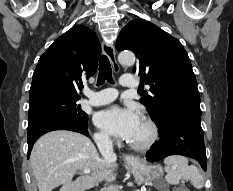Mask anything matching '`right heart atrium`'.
Returning <instances> with one entry per match:
<instances>
[{
    "instance_id": "right-heart-atrium-1",
    "label": "right heart atrium",
    "mask_w": 233,
    "mask_h": 191,
    "mask_svg": "<svg viewBox=\"0 0 233 191\" xmlns=\"http://www.w3.org/2000/svg\"><path fill=\"white\" fill-rule=\"evenodd\" d=\"M94 140L100 149H109L114 144L113 139L107 133L103 131L95 132Z\"/></svg>"
}]
</instances>
